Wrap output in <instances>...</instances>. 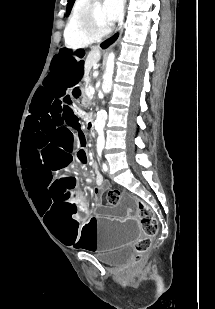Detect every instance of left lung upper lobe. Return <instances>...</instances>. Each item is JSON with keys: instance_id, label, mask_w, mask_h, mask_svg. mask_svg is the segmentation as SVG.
Instances as JSON below:
<instances>
[{"instance_id": "left-lung-upper-lobe-1", "label": "left lung upper lobe", "mask_w": 215, "mask_h": 309, "mask_svg": "<svg viewBox=\"0 0 215 309\" xmlns=\"http://www.w3.org/2000/svg\"><path fill=\"white\" fill-rule=\"evenodd\" d=\"M73 2H74V0H68L67 14H68L69 10L71 9Z\"/></svg>"}]
</instances>
